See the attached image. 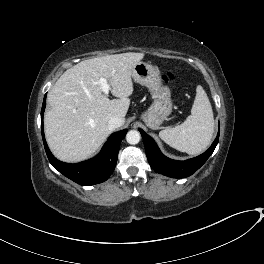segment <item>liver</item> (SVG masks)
<instances>
[{"label":"liver","mask_w":264,"mask_h":264,"mask_svg":"<svg viewBox=\"0 0 264 264\" xmlns=\"http://www.w3.org/2000/svg\"><path fill=\"white\" fill-rule=\"evenodd\" d=\"M143 57L128 52L87 59L60 76L48 93L50 109L44 116L46 140L56 158L69 163L85 160L111 133V117H120L124 124L133 93L132 69ZM101 77L108 80L116 99L102 94Z\"/></svg>","instance_id":"liver-1"}]
</instances>
